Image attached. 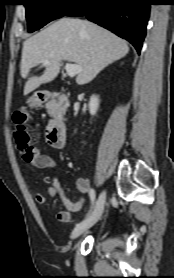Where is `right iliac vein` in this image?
Instances as JSON below:
<instances>
[{
  "label": "right iliac vein",
  "instance_id": "63e3f726",
  "mask_svg": "<svg viewBox=\"0 0 174 278\" xmlns=\"http://www.w3.org/2000/svg\"><path fill=\"white\" fill-rule=\"evenodd\" d=\"M105 197H106V193L105 191H103L99 195L95 208L91 213V215L88 218H86L84 221L76 225V227L72 231L71 234L72 239L78 238L81 234H83L85 231L91 228L100 219L104 210Z\"/></svg>",
  "mask_w": 174,
  "mask_h": 278
}]
</instances>
